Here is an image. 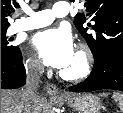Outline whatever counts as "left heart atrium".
Here are the masks:
<instances>
[{
	"label": "left heart atrium",
	"mask_w": 123,
	"mask_h": 113,
	"mask_svg": "<svg viewBox=\"0 0 123 113\" xmlns=\"http://www.w3.org/2000/svg\"><path fill=\"white\" fill-rule=\"evenodd\" d=\"M31 43L47 66L64 69L75 57L72 35L65 28L41 31L33 36Z\"/></svg>",
	"instance_id": "1"
}]
</instances>
